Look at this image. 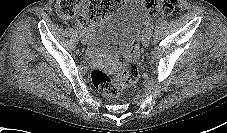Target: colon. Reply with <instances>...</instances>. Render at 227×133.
<instances>
[{
  "label": "colon",
  "mask_w": 227,
  "mask_h": 133,
  "mask_svg": "<svg viewBox=\"0 0 227 133\" xmlns=\"http://www.w3.org/2000/svg\"><path fill=\"white\" fill-rule=\"evenodd\" d=\"M123 0H57L55 11L62 19L78 17L85 25H92L104 19L108 14L122 5ZM178 0H146V9L150 15L169 16L174 13ZM130 66L110 75L100 69L91 72L94 87L102 94L119 98L135 85L140 73L134 65L135 53L129 55Z\"/></svg>",
  "instance_id": "colon-1"
}]
</instances>
